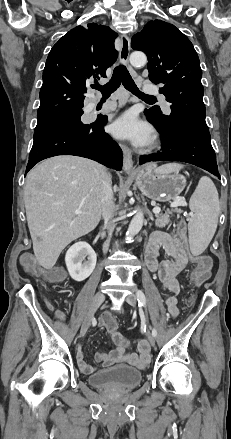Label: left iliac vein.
I'll return each instance as SVG.
<instances>
[{
    "label": "left iliac vein",
    "instance_id": "4c4485c4",
    "mask_svg": "<svg viewBox=\"0 0 231 439\" xmlns=\"http://www.w3.org/2000/svg\"><path fill=\"white\" fill-rule=\"evenodd\" d=\"M126 302L130 304L131 306L135 307L137 305V296L133 293L129 294L126 297ZM148 341L151 344V346L155 345V339L152 334H148Z\"/></svg>",
    "mask_w": 231,
    "mask_h": 439
}]
</instances>
